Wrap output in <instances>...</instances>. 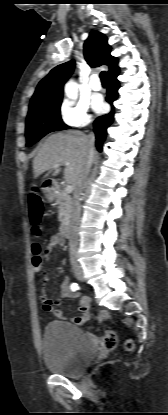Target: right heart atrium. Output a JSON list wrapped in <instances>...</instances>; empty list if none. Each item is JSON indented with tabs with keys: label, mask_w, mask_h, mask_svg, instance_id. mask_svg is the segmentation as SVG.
<instances>
[{
	"label": "right heart atrium",
	"mask_w": 168,
	"mask_h": 415,
	"mask_svg": "<svg viewBox=\"0 0 168 415\" xmlns=\"http://www.w3.org/2000/svg\"><path fill=\"white\" fill-rule=\"evenodd\" d=\"M59 118L68 128H83L92 122L88 104L82 101L63 102L59 109Z\"/></svg>",
	"instance_id": "d8ad5b80"
}]
</instances>
